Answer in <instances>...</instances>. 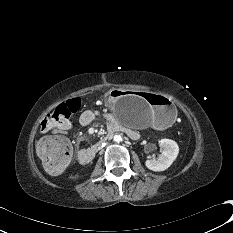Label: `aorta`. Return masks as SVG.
<instances>
[{"label": "aorta", "instance_id": "762f6f07", "mask_svg": "<svg viewBox=\"0 0 233 233\" xmlns=\"http://www.w3.org/2000/svg\"><path fill=\"white\" fill-rule=\"evenodd\" d=\"M114 141L115 142H121L122 141V137H121V135H119V134H116L115 136H114Z\"/></svg>", "mask_w": 233, "mask_h": 233}]
</instances>
